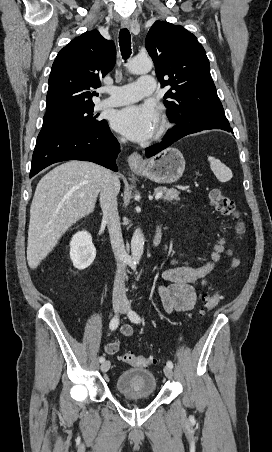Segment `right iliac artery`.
<instances>
[{
  "mask_svg": "<svg viewBox=\"0 0 272 452\" xmlns=\"http://www.w3.org/2000/svg\"><path fill=\"white\" fill-rule=\"evenodd\" d=\"M119 325V316H114L112 320L110 321L109 327L111 330H115ZM100 363H103L105 361V358L101 356L99 358Z\"/></svg>",
  "mask_w": 272,
  "mask_h": 452,
  "instance_id": "82829eb1",
  "label": "right iliac artery"
}]
</instances>
